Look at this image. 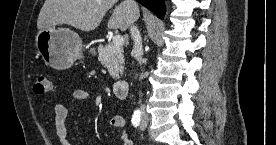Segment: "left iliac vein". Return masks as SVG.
I'll return each mask as SVG.
<instances>
[{"label": "left iliac vein", "instance_id": "left-iliac-vein-1", "mask_svg": "<svg viewBox=\"0 0 276 145\" xmlns=\"http://www.w3.org/2000/svg\"><path fill=\"white\" fill-rule=\"evenodd\" d=\"M147 124H148V116L144 114L140 123V129L144 130L147 127Z\"/></svg>", "mask_w": 276, "mask_h": 145}]
</instances>
